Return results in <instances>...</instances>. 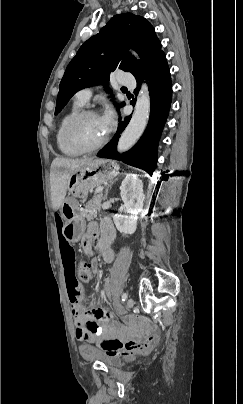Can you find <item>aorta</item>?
Returning a JSON list of instances; mask_svg holds the SVG:
<instances>
[{
  "label": "aorta",
  "instance_id": "obj_1",
  "mask_svg": "<svg viewBox=\"0 0 243 404\" xmlns=\"http://www.w3.org/2000/svg\"><path fill=\"white\" fill-rule=\"evenodd\" d=\"M136 56V52H132ZM150 114V96L146 84H143L139 98L135 104L134 114L125 128L121 138H119L117 150L118 152H127L130 150L140 136H142L148 122Z\"/></svg>",
  "mask_w": 243,
  "mask_h": 404
}]
</instances>
